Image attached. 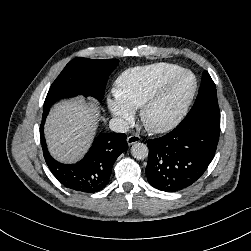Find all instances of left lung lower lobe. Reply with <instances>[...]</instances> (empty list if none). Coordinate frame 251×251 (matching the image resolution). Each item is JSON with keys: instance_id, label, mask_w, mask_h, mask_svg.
I'll return each instance as SVG.
<instances>
[{"instance_id": "1", "label": "left lung lower lobe", "mask_w": 251, "mask_h": 251, "mask_svg": "<svg viewBox=\"0 0 251 251\" xmlns=\"http://www.w3.org/2000/svg\"><path fill=\"white\" fill-rule=\"evenodd\" d=\"M219 135L220 115L189 112L171 132L148 140L150 185L176 192L195 183L214 158Z\"/></svg>"}]
</instances>
